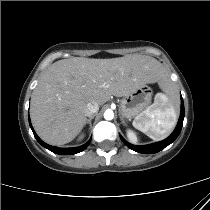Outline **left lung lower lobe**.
<instances>
[{"label":"left lung lower lobe","instance_id":"0a47b994","mask_svg":"<svg viewBox=\"0 0 210 210\" xmlns=\"http://www.w3.org/2000/svg\"><path fill=\"white\" fill-rule=\"evenodd\" d=\"M183 119H184V103H183V99L181 98V114H180V118H179L177 127L175 128L174 132L167 139L157 142V143H154V144H150V145L135 146V145H132V144L128 143L127 141H125L121 136H120V138L127 147H129L130 149H132L136 152L144 153V154L157 153V152L161 151L162 149H164L169 144H171L178 137V135L182 129Z\"/></svg>","mask_w":210,"mask_h":210}]
</instances>
